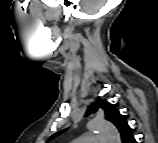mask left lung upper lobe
<instances>
[{
	"label": "left lung upper lobe",
	"mask_w": 158,
	"mask_h": 143,
	"mask_svg": "<svg viewBox=\"0 0 158 143\" xmlns=\"http://www.w3.org/2000/svg\"><path fill=\"white\" fill-rule=\"evenodd\" d=\"M99 108L104 110L105 113V118L112 122L118 129L122 142L130 135L131 133V128L129 127L125 117L120 114L118 109L111 103L107 102L106 100H98L96 103H93L92 105L89 106L87 116L89 115L90 111H97ZM65 130H61L54 135H52L51 139L60 135L61 133L65 132Z\"/></svg>",
	"instance_id": "1"
}]
</instances>
